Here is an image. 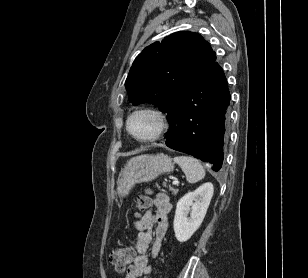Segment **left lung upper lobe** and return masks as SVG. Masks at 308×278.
Returning a JSON list of instances; mask_svg holds the SVG:
<instances>
[{"label": "left lung upper lobe", "instance_id": "1", "mask_svg": "<svg viewBox=\"0 0 308 278\" xmlns=\"http://www.w3.org/2000/svg\"><path fill=\"white\" fill-rule=\"evenodd\" d=\"M215 61V52L200 34H171L136 57L125 82L129 101L133 105L150 102L167 112L183 90Z\"/></svg>", "mask_w": 308, "mask_h": 278}]
</instances>
